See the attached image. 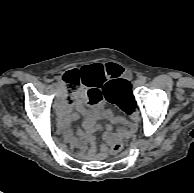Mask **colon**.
<instances>
[{"label":"colon","mask_w":194,"mask_h":193,"mask_svg":"<svg viewBox=\"0 0 194 193\" xmlns=\"http://www.w3.org/2000/svg\"><path fill=\"white\" fill-rule=\"evenodd\" d=\"M67 96V101L72 102L76 94L79 92L82 84V74L78 70H69L60 77ZM128 81L124 79H116L110 82L106 87L105 96L107 99L114 101L118 90L127 89ZM129 112H132L130 110ZM124 148V136L117 137L110 146V153H120Z\"/></svg>","instance_id":"colon-1"}]
</instances>
